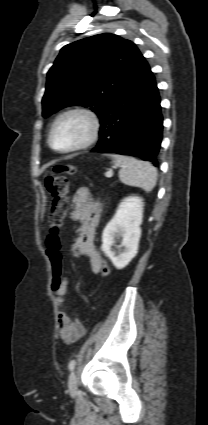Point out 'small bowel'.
Returning a JSON list of instances; mask_svg holds the SVG:
<instances>
[{"label": "small bowel", "mask_w": 208, "mask_h": 425, "mask_svg": "<svg viewBox=\"0 0 208 425\" xmlns=\"http://www.w3.org/2000/svg\"><path fill=\"white\" fill-rule=\"evenodd\" d=\"M71 218L79 223L73 248L77 254L89 260L91 270L94 273L100 274L102 266L107 263L100 256L94 243L98 210L97 199L89 188L82 187L76 191L73 197ZM67 284L68 277L62 274L60 286L55 295L57 303L61 308L58 314L60 336L65 343L70 344L83 336L85 328L81 321L71 319L63 309Z\"/></svg>", "instance_id": "1"}]
</instances>
